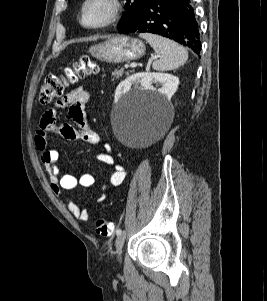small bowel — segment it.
<instances>
[{"label":"small bowel","instance_id":"c3829d8e","mask_svg":"<svg viewBox=\"0 0 267 301\" xmlns=\"http://www.w3.org/2000/svg\"><path fill=\"white\" fill-rule=\"evenodd\" d=\"M89 99L90 93L84 87H78L67 93L54 107L45 111L40 120L35 143L40 152L41 161L45 167L51 188L56 195H60L63 190H72L78 186L90 187L94 183V178L89 173H84L79 177L72 174H61L57 165L58 151L48 142L49 136H55L66 140H82L92 145L99 143V135L90 127L86 118L85 107ZM60 108L68 109L73 124H57V115ZM96 157L103 164L113 168L108 182L101 187L102 193L98 201H103L105 191L109 187H117L123 183L126 171L121 164L115 161L109 144H105ZM67 207L77 220L84 222L89 220L88 211L82 209L73 201H68Z\"/></svg>","mask_w":267,"mask_h":301}]
</instances>
